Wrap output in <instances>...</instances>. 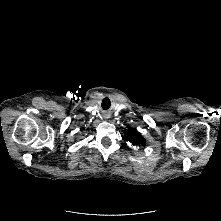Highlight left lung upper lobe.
<instances>
[{
	"mask_svg": "<svg viewBox=\"0 0 221 221\" xmlns=\"http://www.w3.org/2000/svg\"><path fill=\"white\" fill-rule=\"evenodd\" d=\"M125 139L129 141L132 145H143L145 146V139L141 136V134L133 128H130L125 133Z\"/></svg>",
	"mask_w": 221,
	"mask_h": 221,
	"instance_id": "left-lung-upper-lobe-1",
	"label": "left lung upper lobe"
}]
</instances>
